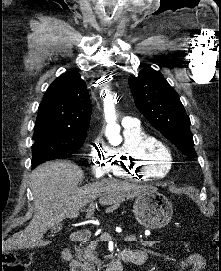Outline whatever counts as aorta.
<instances>
[{
	"mask_svg": "<svg viewBox=\"0 0 221 271\" xmlns=\"http://www.w3.org/2000/svg\"><path fill=\"white\" fill-rule=\"evenodd\" d=\"M108 107H109L108 108L109 109L108 117L113 123H115L116 115H115L114 106H113V103L111 100L109 101Z\"/></svg>",
	"mask_w": 221,
	"mask_h": 271,
	"instance_id": "obj_1",
	"label": "aorta"
}]
</instances>
